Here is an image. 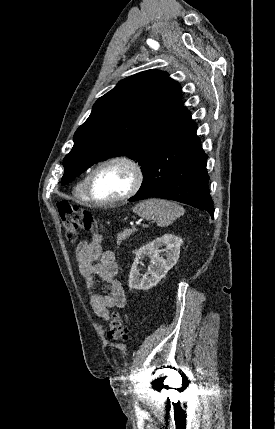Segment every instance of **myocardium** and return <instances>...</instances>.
<instances>
[{
	"instance_id": "obj_1",
	"label": "myocardium",
	"mask_w": 275,
	"mask_h": 429,
	"mask_svg": "<svg viewBox=\"0 0 275 429\" xmlns=\"http://www.w3.org/2000/svg\"><path fill=\"white\" fill-rule=\"evenodd\" d=\"M112 164H122L125 165L132 173V182L129 187V189L122 195L108 199V200H99L94 197L92 193V181L96 173L109 165ZM143 171L140 167V165L132 158L125 156V155H118L113 156L110 158H107L103 160L102 162L98 163L88 174L87 181H86V195L89 201L93 202L94 204L101 205V206H107V205H113L122 201H125L131 197H133L140 189L142 183H143Z\"/></svg>"
}]
</instances>
